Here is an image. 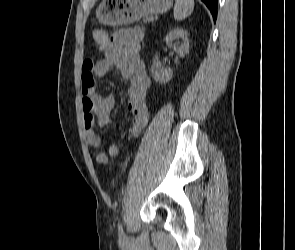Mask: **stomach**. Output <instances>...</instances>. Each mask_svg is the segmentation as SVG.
<instances>
[{
	"mask_svg": "<svg viewBox=\"0 0 295 250\" xmlns=\"http://www.w3.org/2000/svg\"><path fill=\"white\" fill-rule=\"evenodd\" d=\"M173 0H103L96 9V19L105 25L133 23L144 16L164 13Z\"/></svg>",
	"mask_w": 295,
	"mask_h": 250,
	"instance_id": "obj_1",
	"label": "stomach"
}]
</instances>
